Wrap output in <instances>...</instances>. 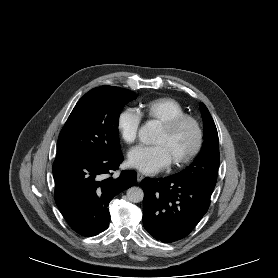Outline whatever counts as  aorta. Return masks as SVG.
<instances>
[{"label":"aorta","instance_id":"obj_1","mask_svg":"<svg viewBox=\"0 0 278 278\" xmlns=\"http://www.w3.org/2000/svg\"><path fill=\"white\" fill-rule=\"evenodd\" d=\"M158 133V124L156 121L146 122L139 130V138L145 144H151ZM127 198L130 202L139 203L144 198V192L139 187H131L127 190Z\"/></svg>","mask_w":278,"mask_h":278}]
</instances>
